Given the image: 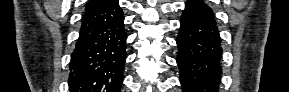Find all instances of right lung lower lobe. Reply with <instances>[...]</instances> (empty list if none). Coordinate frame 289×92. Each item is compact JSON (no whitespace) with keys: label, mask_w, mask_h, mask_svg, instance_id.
<instances>
[{"label":"right lung lower lobe","mask_w":289,"mask_h":92,"mask_svg":"<svg viewBox=\"0 0 289 92\" xmlns=\"http://www.w3.org/2000/svg\"><path fill=\"white\" fill-rule=\"evenodd\" d=\"M125 42L118 0L86 9L70 62L71 92H120Z\"/></svg>","instance_id":"right-lung-lower-lobe-1"}]
</instances>
